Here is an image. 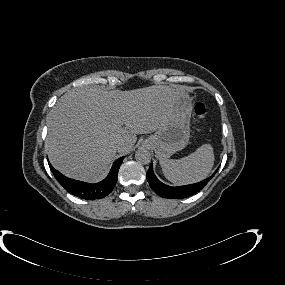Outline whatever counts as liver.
I'll return each mask as SVG.
<instances>
[{
    "label": "liver",
    "instance_id": "obj_1",
    "mask_svg": "<svg viewBox=\"0 0 285 285\" xmlns=\"http://www.w3.org/2000/svg\"><path fill=\"white\" fill-rule=\"evenodd\" d=\"M179 90L153 85L130 91L73 89L60 97L48 119L45 146L64 175L98 182L116 153L131 150L136 134L152 133L166 121ZM118 143H123L117 148Z\"/></svg>",
    "mask_w": 285,
    "mask_h": 285
}]
</instances>
